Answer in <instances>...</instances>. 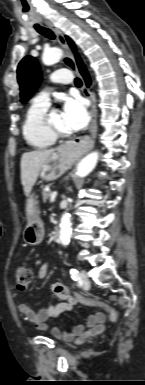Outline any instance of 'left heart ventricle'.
Segmentation results:
<instances>
[{
  "label": "left heart ventricle",
  "instance_id": "left-heart-ventricle-1",
  "mask_svg": "<svg viewBox=\"0 0 145 385\" xmlns=\"http://www.w3.org/2000/svg\"><path fill=\"white\" fill-rule=\"evenodd\" d=\"M50 122L52 126L57 130L64 133H70V131L66 128L64 124V120L61 112L53 111L50 115Z\"/></svg>",
  "mask_w": 145,
  "mask_h": 385
}]
</instances>
